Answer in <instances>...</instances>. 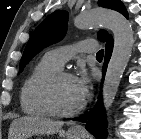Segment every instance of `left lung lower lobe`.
Listing matches in <instances>:
<instances>
[{
    "instance_id": "obj_1",
    "label": "left lung lower lobe",
    "mask_w": 141,
    "mask_h": 139,
    "mask_svg": "<svg viewBox=\"0 0 141 139\" xmlns=\"http://www.w3.org/2000/svg\"><path fill=\"white\" fill-rule=\"evenodd\" d=\"M113 50V39L109 37L106 41L105 49V63L103 64V75L106 73L107 64L110 60L111 53ZM73 120L86 122V129L92 133L96 138L103 139L106 136V117L105 111L102 106L101 95L95 107L90 111V113L84 114L79 118Z\"/></svg>"
}]
</instances>
